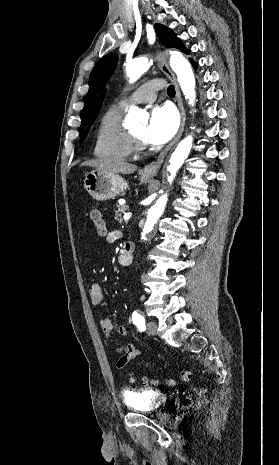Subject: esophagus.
Segmentation results:
<instances>
[{
  "instance_id": "34e87169",
  "label": "esophagus",
  "mask_w": 279,
  "mask_h": 465,
  "mask_svg": "<svg viewBox=\"0 0 279 465\" xmlns=\"http://www.w3.org/2000/svg\"><path fill=\"white\" fill-rule=\"evenodd\" d=\"M156 59L162 72L171 80V82L175 86L176 100H177V104H178V107L181 113V125H180L179 131L176 137L166 146V148H164L161 151L158 158L155 161L145 165L144 168L142 169V175L147 176V177H153L157 174L167 153L181 138L182 133L184 131L185 121H186L185 109L183 106L180 88H179L177 79L175 77V74L170 69L167 58L162 52H159V51L157 52Z\"/></svg>"
}]
</instances>
